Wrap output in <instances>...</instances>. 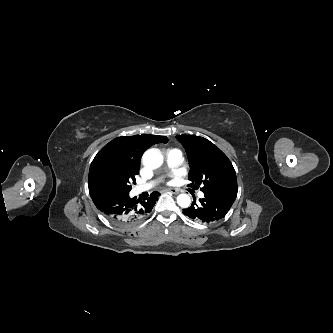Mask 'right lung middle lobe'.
Returning <instances> with one entry per match:
<instances>
[{
	"instance_id": "1",
	"label": "right lung middle lobe",
	"mask_w": 333,
	"mask_h": 333,
	"mask_svg": "<svg viewBox=\"0 0 333 333\" xmlns=\"http://www.w3.org/2000/svg\"><path fill=\"white\" fill-rule=\"evenodd\" d=\"M138 173V168L124 161L114 157H103L91 163L88 183L89 187L102 186L129 193Z\"/></svg>"
}]
</instances>
